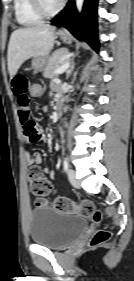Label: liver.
Masks as SVG:
<instances>
[{
	"mask_svg": "<svg viewBox=\"0 0 134 281\" xmlns=\"http://www.w3.org/2000/svg\"><path fill=\"white\" fill-rule=\"evenodd\" d=\"M54 26L39 23L15 30L8 45V71L13 78L20 66L31 57L48 56L55 40Z\"/></svg>",
	"mask_w": 134,
	"mask_h": 281,
	"instance_id": "6515ba94",
	"label": "liver"
}]
</instances>
